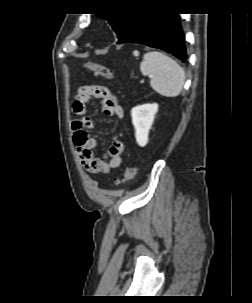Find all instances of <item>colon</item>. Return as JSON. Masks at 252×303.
Returning a JSON list of instances; mask_svg holds the SVG:
<instances>
[{
    "label": "colon",
    "instance_id": "5ec220e1",
    "mask_svg": "<svg viewBox=\"0 0 252 303\" xmlns=\"http://www.w3.org/2000/svg\"><path fill=\"white\" fill-rule=\"evenodd\" d=\"M83 66L84 68L91 71L93 74L97 76L107 79H112L114 77L112 70L105 65L92 61H87L83 64ZM137 172H138V168L136 165L127 166L126 171L121 179V182L126 183L131 181L136 176Z\"/></svg>",
    "mask_w": 252,
    "mask_h": 303
}]
</instances>
